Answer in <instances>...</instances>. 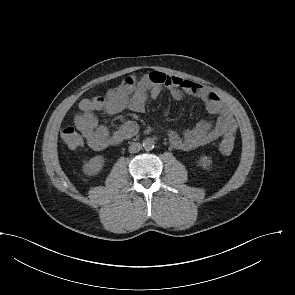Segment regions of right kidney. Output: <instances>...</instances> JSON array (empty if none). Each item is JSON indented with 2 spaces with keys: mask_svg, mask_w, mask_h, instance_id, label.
I'll list each match as a JSON object with an SVG mask.
<instances>
[{
  "mask_svg": "<svg viewBox=\"0 0 295 295\" xmlns=\"http://www.w3.org/2000/svg\"><path fill=\"white\" fill-rule=\"evenodd\" d=\"M105 160L102 156H96L91 158L83 165V171L87 175H96L103 168Z\"/></svg>",
  "mask_w": 295,
  "mask_h": 295,
  "instance_id": "1",
  "label": "right kidney"
}]
</instances>
